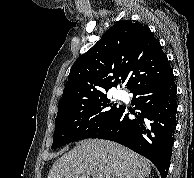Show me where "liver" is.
Masks as SVG:
<instances>
[{
    "instance_id": "obj_1",
    "label": "liver",
    "mask_w": 194,
    "mask_h": 178,
    "mask_svg": "<svg viewBox=\"0 0 194 178\" xmlns=\"http://www.w3.org/2000/svg\"><path fill=\"white\" fill-rule=\"evenodd\" d=\"M151 163L130 149L103 139L81 141L52 166L47 178H144Z\"/></svg>"
}]
</instances>
